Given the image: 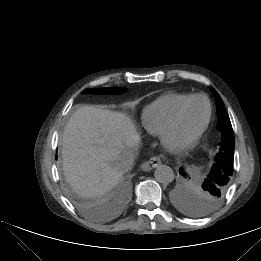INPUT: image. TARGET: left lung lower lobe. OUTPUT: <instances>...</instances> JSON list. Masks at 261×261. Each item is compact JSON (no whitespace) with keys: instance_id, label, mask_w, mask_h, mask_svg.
I'll return each instance as SVG.
<instances>
[{"instance_id":"0a47b994","label":"left lung lower lobe","mask_w":261,"mask_h":261,"mask_svg":"<svg viewBox=\"0 0 261 261\" xmlns=\"http://www.w3.org/2000/svg\"><path fill=\"white\" fill-rule=\"evenodd\" d=\"M222 166L226 167V170L229 171V173L233 174V164L225 162L224 160H221ZM180 174L181 175H185V173L182 171V169L180 170Z\"/></svg>"}]
</instances>
